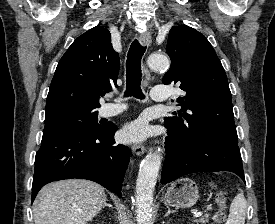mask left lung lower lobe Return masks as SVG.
I'll list each match as a JSON object with an SVG mask.
<instances>
[{
	"mask_svg": "<svg viewBox=\"0 0 275 224\" xmlns=\"http://www.w3.org/2000/svg\"><path fill=\"white\" fill-rule=\"evenodd\" d=\"M168 128L162 184L184 175L204 171H230L245 182L237 134L199 128L179 132Z\"/></svg>",
	"mask_w": 275,
	"mask_h": 224,
	"instance_id": "obj_1",
	"label": "left lung lower lobe"
}]
</instances>
